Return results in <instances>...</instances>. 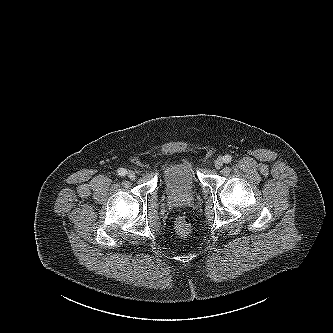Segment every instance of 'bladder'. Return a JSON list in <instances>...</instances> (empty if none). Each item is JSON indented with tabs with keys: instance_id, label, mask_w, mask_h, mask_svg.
Listing matches in <instances>:
<instances>
[{
	"instance_id": "1",
	"label": "bladder",
	"mask_w": 333,
	"mask_h": 333,
	"mask_svg": "<svg viewBox=\"0 0 333 333\" xmlns=\"http://www.w3.org/2000/svg\"><path fill=\"white\" fill-rule=\"evenodd\" d=\"M161 182L169 194L191 193L198 183L195 160L182 156L166 162L161 169Z\"/></svg>"
}]
</instances>
